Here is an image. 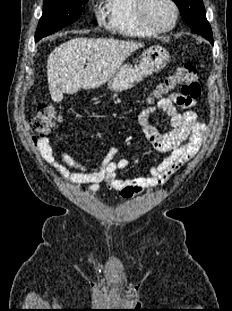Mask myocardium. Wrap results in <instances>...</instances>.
Wrapping results in <instances>:
<instances>
[{
    "mask_svg": "<svg viewBox=\"0 0 232 311\" xmlns=\"http://www.w3.org/2000/svg\"><path fill=\"white\" fill-rule=\"evenodd\" d=\"M169 2V4L171 5L172 9H173V20L171 22L170 25L166 26V27H157L155 25H153L146 17V13H145V7H146V3L147 0H136L135 3V13H136V17L139 21V23L145 27L147 30L151 31L152 33H163V32H168L170 30H172L178 21V17H179V8L176 4V2L174 0H167Z\"/></svg>",
    "mask_w": 232,
    "mask_h": 311,
    "instance_id": "1",
    "label": "myocardium"
}]
</instances>
